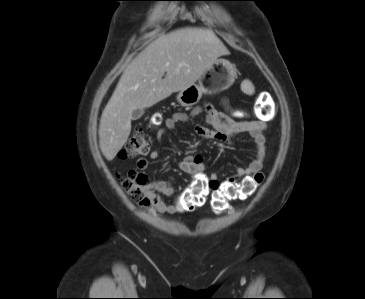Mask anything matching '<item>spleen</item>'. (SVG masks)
Returning <instances> with one entry per match:
<instances>
[{"mask_svg": "<svg viewBox=\"0 0 365 299\" xmlns=\"http://www.w3.org/2000/svg\"><path fill=\"white\" fill-rule=\"evenodd\" d=\"M243 88H244V91H245L247 94H249V95H251V94H253V93H254V87L252 86V84H251L249 81H245V82L243 83Z\"/></svg>", "mask_w": 365, "mask_h": 299, "instance_id": "3e777b00", "label": "spleen"}]
</instances>
